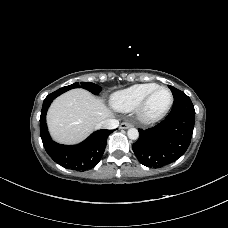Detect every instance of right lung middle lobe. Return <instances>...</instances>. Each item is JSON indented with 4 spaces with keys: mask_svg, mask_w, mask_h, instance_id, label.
Segmentation results:
<instances>
[{
    "mask_svg": "<svg viewBox=\"0 0 228 228\" xmlns=\"http://www.w3.org/2000/svg\"><path fill=\"white\" fill-rule=\"evenodd\" d=\"M84 88L88 91H90L91 93H93L94 95H98L100 93V91L102 90V88L94 83H90V82H81V84L79 83H74L72 85L69 86H65L63 88H60L59 92L64 93L72 88Z\"/></svg>",
    "mask_w": 228,
    "mask_h": 228,
    "instance_id": "dd1d6c3e",
    "label": "right lung middle lobe"
}]
</instances>
